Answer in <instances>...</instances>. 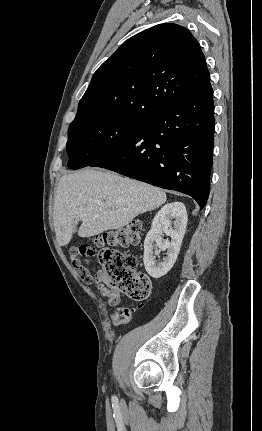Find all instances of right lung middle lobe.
<instances>
[{
  "instance_id": "dd1d6c3e",
  "label": "right lung middle lobe",
  "mask_w": 262,
  "mask_h": 431,
  "mask_svg": "<svg viewBox=\"0 0 262 431\" xmlns=\"http://www.w3.org/2000/svg\"><path fill=\"white\" fill-rule=\"evenodd\" d=\"M142 119L121 118L91 120L71 125L68 131V167L91 165L128 139Z\"/></svg>"
}]
</instances>
